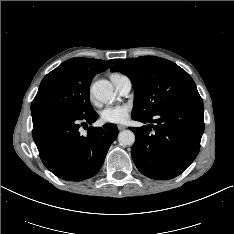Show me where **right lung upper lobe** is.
<instances>
[{
    "label": "right lung upper lobe",
    "instance_id": "1",
    "mask_svg": "<svg viewBox=\"0 0 234 234\" xmlns=\"http://www.w3.org/2000/svg\"><path fill=\"white\" fill-rule=\"evenodd\" d=\"M113 61L114 60L103 61L94 58L75 57L65 61L64 64L70 66L83 78L92 81L96 74L107 70Z\"/></svg>",
    "mask_w": 234,
    "mask_h": 234
}]
</instances>
